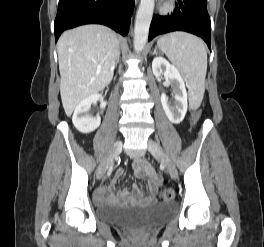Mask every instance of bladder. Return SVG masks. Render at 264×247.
Returning a JSON list of instances; mask_svg holds the SVG:
<instances>
[{
	"instance_id": "obj_1",
	"label": "bladder",
	"mask_w": 264,
	"mask_h": 247,
	"mask_svg": "<svg viewBox=\"0 0 264 247\" xmlns=\"http://www.w3.org/2000/svg\"><path fill=\"white\" fill-rule=\"evenodd\" d=\"M174 207L168 203L109 205L96 208L99 222L130 230H146L170 220Z\"/></svg>"
}]
</instances>
